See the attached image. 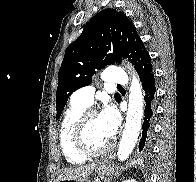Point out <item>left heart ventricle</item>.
Listing matches in <instances>:
<instances>
[{"label":"left heart ventricle","mask_w":196,"mask_h":182,"mask_svg":"<svg viewBox=\"0 0 196 182\" xmlns=\"http://www.w3.org/2000/svg\"><path fill=\"white\" fill-rule=\"evenodd\" d=\"M84 140L86 145L93 150L101 149L110 142V139L101 128L98 115L92 116L88 120L84 132Z\"/></svg>","instance_id":"b2bd125f"}]
</instances>
